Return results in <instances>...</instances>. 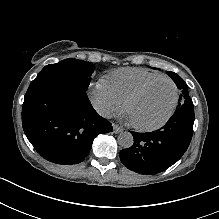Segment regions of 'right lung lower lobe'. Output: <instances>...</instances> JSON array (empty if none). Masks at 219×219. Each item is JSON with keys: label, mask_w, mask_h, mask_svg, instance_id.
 Wrapping results in <instances>:
<instances>
[{"label": "right lung lower lobe", "mask_w": 219, "mask_h": 219, "mask_svg": "<svg viewBox=\"0 0 219 219\" xmlns=\"http://www.w3.org/2000/svg\"><path fill=\"white\" fill-rule=\"evenodd\" d=\"M24 132L48 161L70 165L82 162L93 139L112 131L82 88L61 81L31 82L22 107Z\"/></svg>", "instance_id": "1"}]
</instances>
